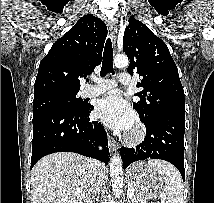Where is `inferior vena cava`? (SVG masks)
I'll return each instance as SVG.
<instances>
[{
    "label": "inferior vena cava",
    "mask_w": 214,
    "mask_h": 203,
    "mask_svg": "<svg viewBox=\"0 0 214 203\" xmlns=\"http://www.w3.org/2000/svg\"><path fill=\"white\" fill-rule=\"evenodd\" d=\"M88 165L90 167L91 193H92V198H94V194H97L100 192V188L103 184L105 167L98 160H89Z\"/></svg>",
    "instance_id": "602c4592"
}]
</instances>
